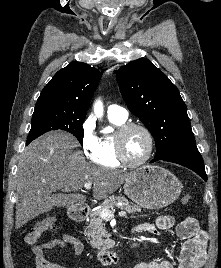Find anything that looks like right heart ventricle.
<instances>
[{"mask_svg":"<svg viewBox=\"0 0 221 268\" xmlns=\"http://www.w3.org/2000/svg\"><path fill=\"white\" fill-rule=\"evenodd\" d=\"M110 122L119 127L124 124L125 120L109 118ZM94 162L108 168H118L121 163L116 157L114 134L103 135L99 139V146Z\"/></svg>","mask_w":221,"mask_h":268,"instance_id":"e07e8e85","label":"right heart ventricle"}]
</instances>
